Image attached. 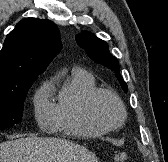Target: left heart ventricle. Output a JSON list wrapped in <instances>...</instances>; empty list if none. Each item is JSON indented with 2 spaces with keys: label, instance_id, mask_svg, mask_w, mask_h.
Here are the masks:
<instances>
[{
  "label": "left heart ventricle",
  "instance_id": "b2bd125f",
  "mask_svg": "<svg viewBox=\"0 0 168 162\" xmlns=\"http://www.w3.org/2000/svg\"><path fill=\"white\" fill-rule=\"evenodd\" d=\"M96 113L107 125H115L120 120V109L117 103L113 98L106 95L97 99Z\"/></svg>",
  "mask_w": 168,
  "mask_h": 162
}]
</instances>
